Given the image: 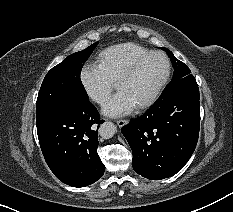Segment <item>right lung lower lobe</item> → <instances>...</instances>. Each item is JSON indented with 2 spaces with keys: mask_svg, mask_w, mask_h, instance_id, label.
<instances>
[{
  "mask_svg": "<svg viewBox=\"0 0 233 212\" xmlns=\"http://www.w3.org/2000/svg\"><path fill=\"white\" fill-rule=\"evenodd\" d=\"M103 122L87 101L65 107L37 124L45 161L63 183L84 187L104 174V164L97 153V129Z\"/></svg>",
  "mask_w": 233,
  "mask_h": 212,
  "instance_id": "98d812e1",
  "label": "right lung lower lobe"
}]
</instances>
